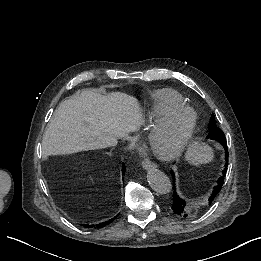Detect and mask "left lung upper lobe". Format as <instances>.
<instances>
[{
	"label": "left lung upper lobe",
	"instance_id": "left-lung-upper-lobe-1",
	"mask_svg": "<svg viewBox=\"0 0 261 261\" xmlns=\"http://www.w3.org/2000/svg\"><path fill=\"white\" fill-rule=\"evenodd\" d=\"M207 138L218 141L222 146L226 144L225 135L215 124L214 115L211 116L209 123V134Z\"/></svg>",
	"mask_w": 261,
	"mask_h": 261
}]
</instances>
